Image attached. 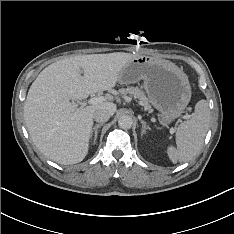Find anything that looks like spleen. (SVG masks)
I'll list each match as a JSON object with an SVG mask.
<instances>
[{
    "label": "spleen",
    "mask_w": 234,
    "mask_h": 234,
    "mask_svg": "<svg viewBox=\"0 0 234 234\" xmlns=\"http://www.w3.org/2000/svg\"><path fill=\"white\" fill-rule=\"evenodd\" d=\"M210 124V110L206 100L195 105L193 117L181 123L176 132V147L168 146L167 154L172 163H184L199 152Z\"/></svg>",
    "instance_id": "3e777b00"
}]
</instances>
